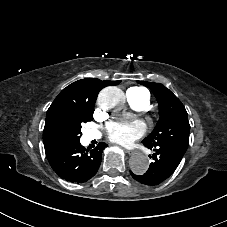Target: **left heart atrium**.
Returning <instances> with one entry per match:
<instances>
[{"label":"left heart atrium","instance_id":"left-heart-atrium-1","mask_svg":"<svg viewBox=\"0 0 227 227\" xmlns=\"http://www.w3.org/2000/svg\"><path fill=\"white\" fill-rule=\"evenodd\" d=\"M107 137L112 143L129 145L141 138L146 131L142 120H109L105 126Z\"/></svg>","mask_w":227,"mask_h":227}]
</instances>
